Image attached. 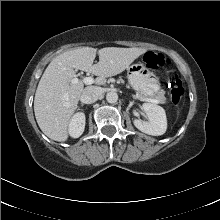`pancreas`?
<instances>
[{"label": "pancreas", "instance_id": "pancreas-1", "mask_svg": "<svg viewBox=\"0 0 220 220\" xmlns=\"http://www.w3.org/2000/svg\"><path fill=\"white\" fill-rule=\"evenodd\" d=\"M156 100H158V102L161 104L166 103V98L163 93H161L158 97H156Z\"/></svg>", "mask_w": 220, "mask_h": 220}]
</instances>
